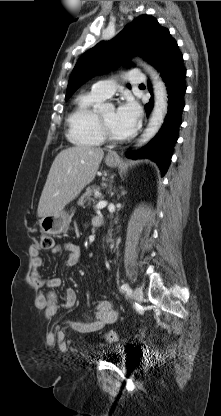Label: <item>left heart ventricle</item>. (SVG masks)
I'll return each instance as SVG.
<instances>
[{
	"label": "left heart ventricle",
	"mask_w": 221,
	"mask_h": 416,
	"mask_svg": "<svg viewBox=\"0 0 221 416\" xmlns=\"http://www.w3.org/2000/svg\"><path fill=\"white\" fill-rule=\"evenodd\" d=\"M103 120L105 121V123L107 124V126L109 127L111 133L113 136L117 137V138H123L126 137V135L121 131L117 120H116V111L114 108H109L106 109L102 112H100Z\"/></svg>",
	"instance_id": "b2bd125f"
}]
</instances>
